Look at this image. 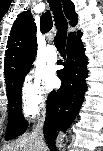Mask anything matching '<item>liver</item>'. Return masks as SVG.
<instances>
[{"instance_id":"6515ba94","label":"liver","mask_w":103,"mask_h":151,"mask_svg":"<svg viewBox=\"0 0 103 151\" xmlns=\"http://www.w3.org/2000/svg\"><path fill=\"white\" fill-rule=\"evenodd\" d=\"M43 136L37 132L24 134L16 142L5 146L2 151H45Z\"/></svg>"}]
</instances>
